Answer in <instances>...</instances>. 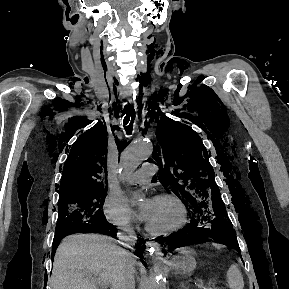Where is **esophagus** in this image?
<instances>
[{"instance_id":"34e87169","label":"esophagus","mask_w":289,"mask_h":289,"mask_svg":"<svg viewBox=\"0 0 289 289\" xmlns=\"http://www.w3.org/2000/svg\"><path fill=\"white\" fill-rule=\"evenodd\" d=\"M146 250L151 256L155 258L161 255V247L156 241H147Z\"/></svg>"}]
</instances>
